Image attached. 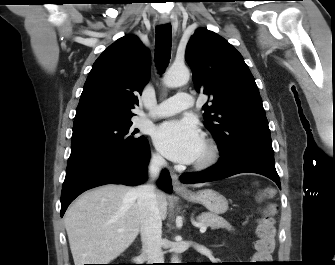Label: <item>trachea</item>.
<instances>
[{"label": "trachea", "mask_w": 335, "mask_h": 265, "mask_svg": "<svg viewBox=\"0 0 335 265\" xmlns=\"http://www.w3.org/2000/svg\"><path fill=\"white\" fill-rule=\"evenodd\" d=\"M171 24L156 27L155 63L162 74L169 64L171 56Z\"/></svg>", "instance_id": "trachea-1"}]
</instances>
